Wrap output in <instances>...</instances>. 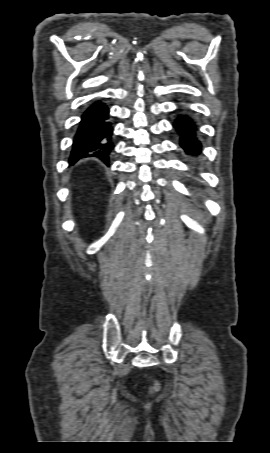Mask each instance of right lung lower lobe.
<instances>
[{
    "label": "right lung lower lobe",
    "instance_id": "1",
    "mask_svg": "<svg viewBox=\"0 0 270 453\" xmlns=\"http://www.w3.org/2000/svg\"><path fill=\"white\" fill-rule=\"evenodd\" d=\"M112 131L109 108L103 102L95 101L81 116L69 163L73 164L81 158L97 157L107 164L113 149Z\"/></svg>",
    "mask_w": 270,
    "mask_h": 453
}]
</instances>
